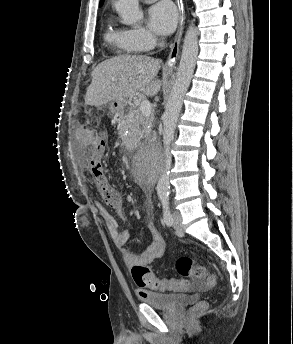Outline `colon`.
<instances>
[{"mask_svg": "<svg viewBox=\"0 0 293 344\" xmlns=\"http://www.w3.org/2000/svg\"><path fill=\"white\" fill-rule=\"evenodd\" d=\"M106 143L104 139L95 142L91 158L90 167L93 171L95 182L105 203L111 207L117 208L121 205L122 199L120 193L112 186L103 171L102 159L105 152ZM175 268L178 274L183 278L192 279L197 283L201 279H206L209 283L214 281V277L206 272L203 265L197 263L190 257H180L175 262ZM131 276L139 288H151L158 290H181L188 288L189 285L182 279H159L151 268L146 265H134L131 268ZM207 308V303L201 301L194 307L195 312L203 311Z\"/></svg>", "mask_w": 293, "mask_h": 344, "instance_id": "1", "label": "colon"}]
</instances>
